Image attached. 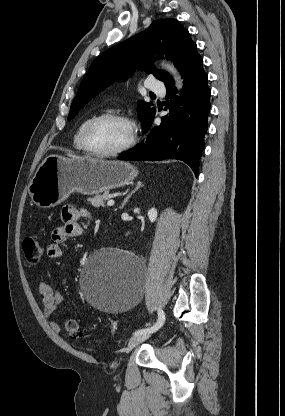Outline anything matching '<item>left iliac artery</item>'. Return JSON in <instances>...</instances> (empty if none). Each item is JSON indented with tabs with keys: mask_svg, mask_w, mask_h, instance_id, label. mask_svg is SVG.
<instances>
[{
	"mask_svg": "<svg viewBox=\"0 0 285 416\" xmlns=\"http://www.w3.org/2000/svg\"><path fill=\"white\" fill-rule=\"evenodd\" d=\"M164 322H165V313H164V311L161 308H159L158 309V321L156 322V324L153 325V326L144 328V329L137 330L134 333V335L144 334V333H148V332H153L156 329H159L164 324Z\"/></svg>",
	"mask_w": 285,
	"mask_h": 416,
	"instance_id": "obj_1",
	"label": "left iliac artery"
}]
</instances>
